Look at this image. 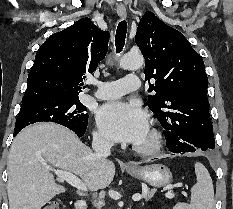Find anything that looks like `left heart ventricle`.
<instances>
[{"label": "left heart ventricle", "mask_w": 233, "mask_h": 209, "mask_svg": "<svg viewBox=\"0 0 233 209\" xmlns=\"http://www.w3.org/2000/svg\"><path fill=\"white\" fill-rule=\"evenodd\" d=\"M149 140V130L145 133V135L136 143V144H144Z\"/></svg>", "instance_id": "left-heart-ventricle-1"}]
</instances>
